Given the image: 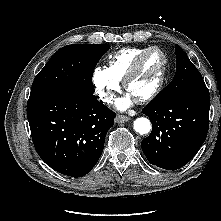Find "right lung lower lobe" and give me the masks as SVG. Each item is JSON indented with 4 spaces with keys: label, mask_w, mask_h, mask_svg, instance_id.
<instances>
[{
    "label": "right lung lower lobe",
    "mask_w": 221,
    "mask_h": 221,
    "mask_svg": "<svg viewBox=\"0 0 221 221\" xmlns=\"http://www.w3.org/2000/svg\"><path fill=\"white\" fill-rule=\"evenodd\" d=\"M101 102L92 92L84 91L29 98L27 118L31 136L45 163L71 177L91 171L115 118V113Z\"/></svg>",
    "instance_id": "right-lung-lower-lobe-1"
}]
</instances>
